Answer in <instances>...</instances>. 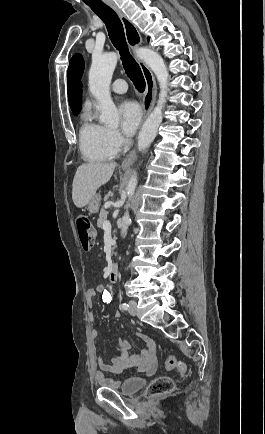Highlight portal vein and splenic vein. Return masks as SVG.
Returning a JSON list of instances; mask_svg holds the SVG:
<instances>
[{"label":"portal vein and splenic vein","mask_w":265,"mask_h":434,"mask_svg":"<svg viewBox=\"0 0 265 434\" xmlns=\"http://www.w3.org/2000/svg\"><path fill=\"white\" fill-rule=\"evenodd\" d=\"M105 208H108V206H105ZM103 230H111V224L110 222H107V220L103 224Z\"/></svg>","instance_id":"obj_1"}]
</instances>
